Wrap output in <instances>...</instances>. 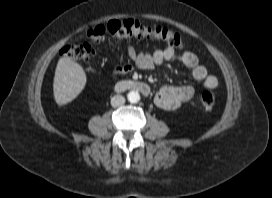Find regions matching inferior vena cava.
Instances as JSON below:
<instances>
[{
  "label": "inferior vena cava",
  "instance_id": "inferior-vena-cava-1",
  "mask_svg": "<svg viewBox=\"0 0 272 198\" xmlns=\"http://www.w3.org/2000/svg\"><path fill=\"white\" fill-rule=\"evenodd\" d=\"M125 103V97L122 95H115L111 98V106L118 107Z\"/></svg>",
  "mask_w": 272,
  "mask_h": 198
}]
</instances>
